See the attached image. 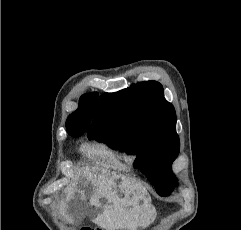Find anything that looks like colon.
<instances>
[{
  "label": "colon",
  "mask_w": 241,
  "mask_h": 230,
  "mask_svg": "<svg viewBox=\"0 0 241 230\" xmlns=\"http://www.w3.org/2000/svg\"><path fill=\"white\" fill-rule=\"evenodd\" d=\"M83 230H91V229H89V228H85V229H83Z\"/></svg>",
  "instance_id": "obj_1"
}]
</instances>
